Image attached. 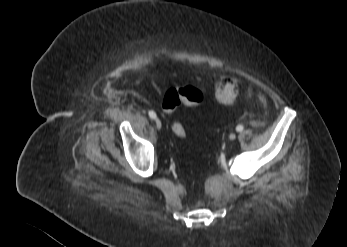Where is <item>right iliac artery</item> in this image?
I'll return each mask as SVG.
<instances>
[{
  "label": "right iliac artery",
  "mask_w": 347,
  "mask_h": 247,
  "mask_svg": "<svg viewBox=\"0 0 347 247\" xmlns=\"http://www.w3.org/2000/svg\"><path fill=\"white\" fill-rule=\"evenodd\" d=\"M148 114H149L150 118H152V119L156 118V113L154 111L151 110L148 112Z\"/></svg>",
  "instance_id": "right-iliac-artery-1"
}]
</instances>
